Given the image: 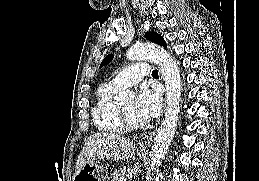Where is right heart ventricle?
Returning a JSON list of instances; mask_svg holds the SVG:
<instances>
[{
	"mask_svg": "<svg viewBox=\"0 0 259 181\" xmlns=\"http://www.w3.org/2000/svg\"><path fill=\"white\" fill-rule=\"evenodd\" d=\"M119 90L111 83H104L96 91L92 119L100 131L107 133H123L125 131L119 108L114 103V96Z\"/></svg>",
	"mask_w": 259,
	"mask_h": 181,
	"instance_id": "e07e8e85",
	"label": "right heart ventricle"
}]
</instances>
